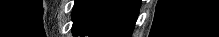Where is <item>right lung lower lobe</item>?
Returning <instances> with one entry per match:
<instances>
[{"label":"right lung lower lobe","instance_id":"obj_1","mask_svg":"<svg viewBox=\"0 0 219 37\" xmlns=\"http://www.w3.org/2000/svg\"><path fill=\"white\" fill-rule=\"evenodd\" d=\"M140 0H77L73 33L90 37H131Z\"/></svg>","mask_w":219,"mask_h":37}]
</instances>
